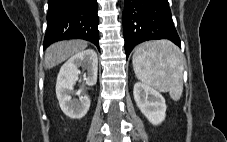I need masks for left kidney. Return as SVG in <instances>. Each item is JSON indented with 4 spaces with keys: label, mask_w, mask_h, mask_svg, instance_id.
I'll use <instances>...</instances> for the list:
<instances>
[{
    "label": "left kidney",
    "mask_w": 227,
    "mask_h": 142,
    "mask_svg": "<svg viewBox=\"0 0 227 142\" xmlns=\"http://www.w3.org/2000/svg\"><path fill=\"white\" fill-rule=\"evenodd\" d=\"M134 100L142 114L153 125L161 124L166 116L164 97L151 86L137 82L133 89Z\"/></svg>",
    "instance_id": "1"
}]
</instances>
